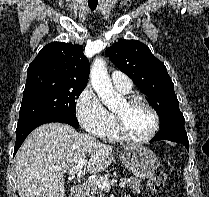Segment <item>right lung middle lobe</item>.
<instances>
[{
  "mask_svg": "<svg viewBox=\"0 0 209 197\" xmlns=\"http://www.w3.org/2000/svg\"><path fill=\"white\" fill-rule=\"evenodd\" d=\"M85 86L73 82L45 80L26 83L18 124L49 115L77 120L75 101Z\"/></svg>",
  "mask_w": 209,
  "mask_h": 197,
  "instance_id": "obj_1",
  "label": "right lung middle lobe"
}]
</instances>
